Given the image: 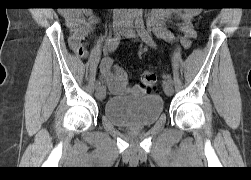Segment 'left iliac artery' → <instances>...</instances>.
Wrapping results in <instances>:
<instances>
[{"label":"left iliac artery","instance_id":"1","mask_svg":"<svg viewBox=\"0 0 251 180\" xmlns=\"http://www.w3.org/2000/svg\"><path fill=\"white\" fill-rule=\"evenodd\" d=\"M135 27L137 29L138 34L142 38V40L148 44L149 46L156 48V43L154 42L151 33H150V28L148 26L147 29H145L144 21L141 17L140 14L136 15V20H135ZM165 79L169 82H173L172 77L170 74L164 75Z\"/></svg>","mask_w":251,"mask_h":180}]
</instances>
